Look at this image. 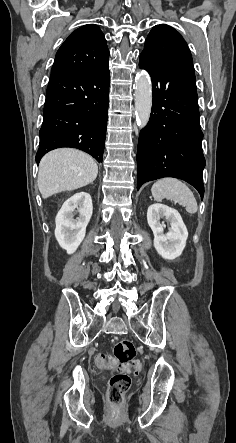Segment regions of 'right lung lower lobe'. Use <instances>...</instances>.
I'll list each match as a JSON object with an SVG mask.
<instances>
[{
    "label": "right lung lower lobe",
    "mask_w": 236,
    "mask_h": 443,
    "mask_svg": "<svg viewBox=\"0 0 236 443\" xmlns=\"http://www.w3.org/2000/svg\"><path fill=\"white\" fill-rule=\"evenodd\" d=\"M109 99V66L96 72H53L47 87L36 161L72 147L102 162Z\"/></svg>",
    "instance_id": "right-lung-lower-lobe-1"
}]
</instances>
